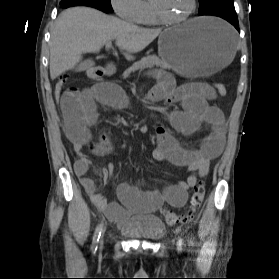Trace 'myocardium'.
<instances>
[{
  "instance_id": "f54148a6",
  "label": "myocardium",
  "mask_w": 279,
  "mask_h": 279,
  "mask_svg": "<svg viewBox=\"0 0 279 279\" xmlns=\"http://www.w3.org/2000/svg\"><path fill=\"white\" fill-rule=\"evenodd\" d=\"M150 4H151L152 10H153V13H154L155 17L158 19V21L160 23L167 24V25H177V24L187 21L189 18L192 17V15L195 13L196 8H197V0H191V6H190L189 10L183 16H181L179 18H170V17H167L163 13V11L158 3V0H150Z\"/></svg>"
}]
</instances>
